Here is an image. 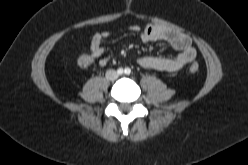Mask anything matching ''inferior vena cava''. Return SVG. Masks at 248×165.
<instances>
[{"mask_svg":"<svg viewBox=\"0 0 248 165\" xmlns=\"http://www.w3.org/2000/svg\"><path fill=\"white\" fill-rule=\"evenodd\" d=\"M118 73L115 70H108L106 72V78L109 80H116L118 78Z\"/></svg>","mask_w":248,"mask_h":165,"instance_id":"obj_1","label":"inferior vena cava"}]
</instances>
